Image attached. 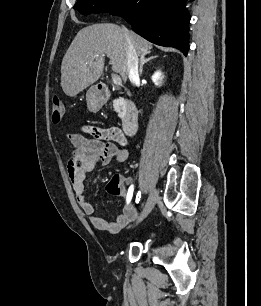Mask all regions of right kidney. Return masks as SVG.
Returning <instances> with one entry per match:
<instances>
[{
  "mask_svg": "<svg viewBox=\"0 0 261 306\" xmlns=\"http://www.w3.org/2000/svg\"><path fill=\"white\" fill-rule=\"evenodd\" d=\"M152 80H153V82L157 85V84H158V80H161V73H160V72H156V73L152 76Z\"/></svg>",
  "mask_w": 261,
  "mask_h": 306,
  "instance_id": "right-kidney-1",
  "label": "right kidney"
}]
</instances>
